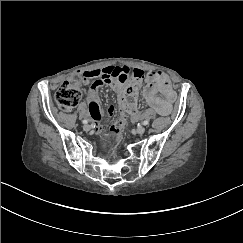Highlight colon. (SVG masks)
I'll return each mask as SVG.
<instances>
[{"label": "colon", "mask_w": 243, "mask_h": 243, "mask_svg": "<svg viewBox=\"0 0 243 243\" xmlns=\"http://www.w3.org/2000/svg\"><path fill=\"white\" fill-rule=\"evenodd\" d=\"M74 78L80 80L82 75L76 74ZM142 78L143 75L140 72H135L130 79L123 80L124 87L119 94L120 117L110 130V137L114 141L120 140L127 117H135L139 113L137 96ZM81 96L79 86L76 83L66 81L58 88L55 100L61 110L70 111L79 103Z\"/></svg>", "instance_id": "5ec220e1"}]
</instances>
